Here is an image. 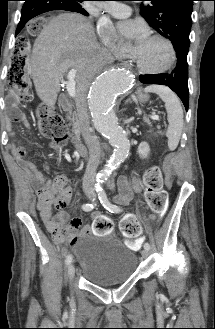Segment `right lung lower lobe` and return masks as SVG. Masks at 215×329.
Listing matches in <instances>:
<instances>
[{"label": "right lung lower lobe", "instance_id": "obj_1", "mask_svg": "<svg viewBox=\"0 0 215 329\" xmlns=\"http://www.w3.org/2000/svg\"><path fill=\"white\" fill-rule=\"evenodd\" d=\"M25 3L21 10V19L16 29V35L23 29L28 20L33 17L51 11V10H66L78 12L85 16L88 13L85 9H75L68 0H24Z\"/></svg>", "mask_w": 215, "mask_h": 329}]
</instances>
